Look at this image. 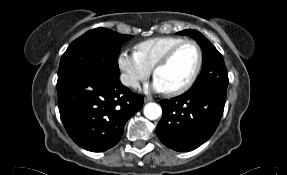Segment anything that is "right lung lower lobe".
Here are the masks:
<instances>
[{"label": "right lung lower lobe", "mask_w": 287, "mask_h": 175, "mask_svg": "<svg viewBox=\"0 0 287 175\" xmlns=\"http://www.w3.org/2000/svg\"><path fill=\"white\" fill-rule=\"evenodd\" d=\"M63 125L80 147L102 152L120 140L128 119L143 106V97L119 79L78 72L57 81Z\"/></svg>", "instance_id": "right-lung-lower-lobe-1"}]
</instances>
